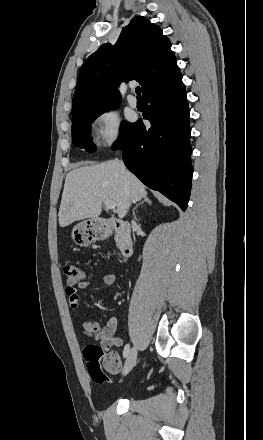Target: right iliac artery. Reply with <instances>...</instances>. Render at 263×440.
<instances>
[{"label":"right iliac artery","instance_id":"obj_1","mask_svg":"<svg viewBox=\"0 0 263 440\" xmlns=\"http://www.w3.org/2000/svg\"><path fill=\"white\" fill-rule=\"evenodd\" d=\"M129 351H130V345L126 344L125 347H124V350H123V357L124 358L127 357Z\"/></svg>","mask_w":263,"mask_h":440}]
</instances>
